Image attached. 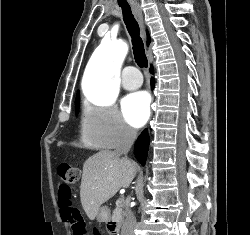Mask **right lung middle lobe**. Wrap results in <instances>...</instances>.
Returning a JSON list of instances; mask_svg holds the SVG:
<instances>
[{"label":"right lung middle lobe","mask_w":250,"mask_h":235,"mask_svg":"<svg viewBox=\"0 0 250 235\" xmlns=\"http://www.w3.org/2000/svg\"><path fill=\"white\" fill-rule=\"evenodd\" d=\"M79 102H80V98H79V94L77 95V98H76V102H75V105H76V113H78L79 111Z\"/></svg>","instance_id":"obj_1"}]
</instances>
